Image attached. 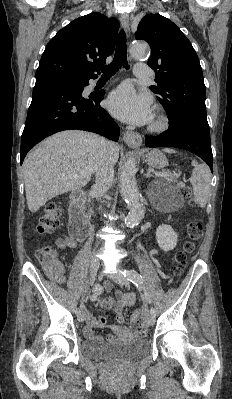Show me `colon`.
<instances>
[{
  "label": "colon",
  "mask_w": 232,
  "mask_h": 399,
  "mask_svg": "<svg viewBox=\"0 0 232 399\" xmlns=\"http://www.w3.org/2000/svg\"><path fill=\"white\" fill-rule=\"evenodd\" d=\"M175 182L181 188L182 198L189 204L194 205L198 201V196L194 192V186L192 181L184 174L179 173L175 177ZM44 216L40 218V222L36 225V230L40 234L51 233L61 225V220L58 217L59 212L57 203L53 200H47L43 204ZM203 230V221L199 217H194L189 225H186V231L184 232L181 247L178 252L174 255L175 264L171 266L170 273L174 277H179L183 273L182 266L186 265L187 262H191L192 258L190 255L195 249V241L198 235H201ZM57 250L56 244L41 249L37 253V258L42 262L44 268L48 269L50 275V283H56L63 285L67 281V276L63 273L59 266V260L56 257ZM131 319L133 320L134 335H147L148 329L141 328L140 324H148L147 313H132Z\"/></svg>",
  "instance_id": "colon-1"
}]
</instances>
